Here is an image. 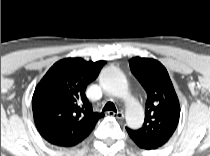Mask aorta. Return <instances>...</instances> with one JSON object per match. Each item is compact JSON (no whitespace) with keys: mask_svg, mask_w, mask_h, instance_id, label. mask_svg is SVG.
<instances>
[{"mask_svg":"<svg viewBox=\"0 0 210 156\" xmlns=\"http://www.w3.org/2000/svg\"><path fill=\"white\" fill-rule=\"evenodd\" d=\"M109 79V78H108ZM111 84L116 88L118 93L124 98L127 106V116L130 122L143 119V110L139 104L131 99L128 86L123 78H110Z\"/></svg>","mask_w":210,"mask_h":156,"instance_id":"obj_1","label":"aorta"}]
</instances>
